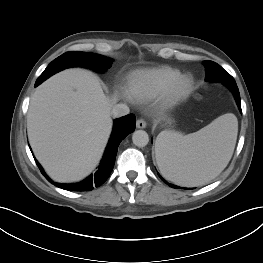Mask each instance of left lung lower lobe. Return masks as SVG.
<instances>
[{
  "mask_svg": "<svg viewBox=\"0 0 263 263\" xmlns=\"http://www.w3.org/2000/svg\"><path fill=\"white\" fill-rule=\"evenodd\" d=\"M203 63L205 65V67H206V72H207L206 80L211 81V78L214 77L215 72L218 71L221 68V66L218 65L215 62H212V61H204ZM224 84L226 86H228V88L233 92L235 100H236V103H237L239 109L241 110L240 94H239V90H238V87L236 85V82L235 81H227ZM159 177L162 179V177L160 175H159ZM164 182L167 183L166 181H164ZM169 186L173 187V188H179L178 186H175V185H172V184H169Z\"/></svg>",
  "mask_w": 263,
  "mask_h": 263,
  "instance_id": "0a47b994",
  "label": "left lung lower lobe"
}]
</instances>
